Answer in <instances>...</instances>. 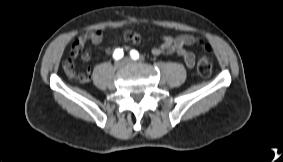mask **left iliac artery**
Segmentation results:
<instances>
[{
	"mask_svg": "<svg viewBox=\"0 0 283 162\" xmlns=\"http://www.w3.org/2000/svg\"><path fill=\"white\" fill-rule=\"evenodd\" d=\"M130 56L132 57V59L137 60L139 59V53L136 50H131L130 51Z\"/></svg>",
	"mask_w": 283,
	"mask_h": 162,
	"instance_id": "44dca946",
	"label": "left iliac artery"
}]
</instances>
